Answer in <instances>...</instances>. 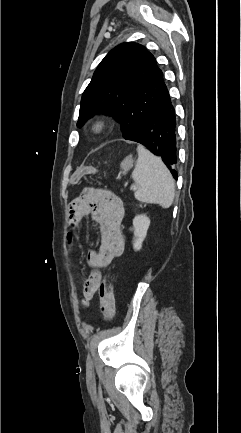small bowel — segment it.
<instances>
[{
	"label": "small bowel",
	"mask_w": 241,
	"mask_h": 433,
	"mask_svg": "<svg viewBox=\"0 0 241 433\" xmlns=\"http://www.w3.org/2000/svg\"><path fill=\"white\" fill-rule=\"evenodd\" d=\"M91 215L98 225L101 245L98 251L91 250L87 254V263L92 269L83 287L82 305L87 307L94 298L96 289L88 286L93 274L101 276L100 270L106 268L125 250V236L122 231V221L125 215L123 201L113 192L84 188L81 195L75 198L69 207V226L77 230L82 219Z\"/></svg>",
	"instance_id": "1"
}]
</instances>
